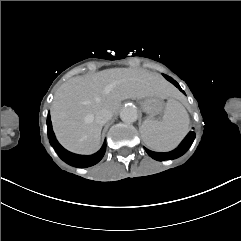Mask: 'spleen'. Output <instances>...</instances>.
<instances>
[{
  "label": "spleen",
  "instance_id": "obj_1",
  "mask_svg": "<svg viewBox=\"0 0 241 241\" xmlns=\"http://www.w3.org/2000/svg\"><path fill=\"white\" fill-rule=\"evenodd\" d=\"M189 131V116L183 105L174 99L166 103L161 120L147 118L140 127L142 141L155 151L174 149Z\"/></svg>",
  "mask_w": 241,
  "mask_h": 241
}]
</instances>
